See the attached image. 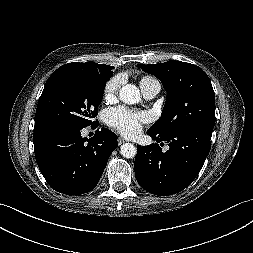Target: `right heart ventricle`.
<instances>
[{
  "label": "right heart ventricle",
  "mask_w": 253,
  "mask_h": 253,
  "mask_svg": "<svg viewBox=\"0 0 253 253\" xmlns=\"http://www.w3.org/2000/svg\"><path fill=\"white\" fill-rule=\"evenodd\" d=\"M140 87H145V86H148V85H151V84H155V83H159V81L152 77V76H149V75H145L143 77L140 78Z\"/></svg>",
  "instance_id": "right-heart-ventricle-1"
}]
</instances>
